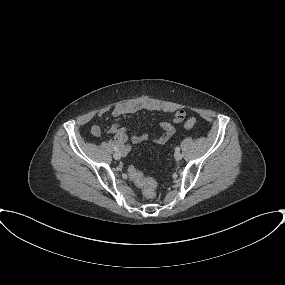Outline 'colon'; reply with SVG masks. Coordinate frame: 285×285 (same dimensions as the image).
Masks as SVG:
<instances>
[{
    "label": "colon",
    "instance_id": "1",
    "mask_svg": "<svg viewBox=\"0 0 285 285\" xmlns=\"http://www.w3.org/2000/svg\"><path fill=\"white\" fill-rule=\"evenodd\" d=\"M179 119L183 117V113H179L177 116ZM196 119L189 118L186 120L184 126L188 129L194 128L196 126ZM130 178L133 182L142 188L143 194L147 198H153L156 195V183L153 179L146 177L141 171H139L134 166H130L129 169Z\"/></svg>",
    "mask_w": 285,
    "mask_h": 285
}]
</instances>
